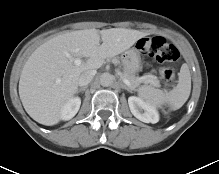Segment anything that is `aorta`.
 <instances>
[{"mask_svg":"<svg viewBox=\"0 0 219 174\" xmlns=\"http://www.w3.org/2000/svg\"><path fill=\"white\" fill-rule=\"evenodd\" d=\"M113 83V76L109 73H103L100 76V84L104 87H108Z\"/></svg>","mask_w":219,"mask_h":174,"instance_id":"obj_1","label":"aorta"}]
</instances>
